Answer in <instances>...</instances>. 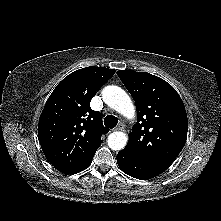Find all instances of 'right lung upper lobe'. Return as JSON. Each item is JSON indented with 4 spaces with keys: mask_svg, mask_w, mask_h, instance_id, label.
<instances>
[{
    "mask_svg": "<svg viewBox=\"0 0 221 221\" xmlns=\"http://www.w3.org/2000/svg\"><path fill=\"white\" fill-rule=\"evenodd\" d=\"M115 70L86 67L65 77L48 98L38 124L39 141L48 161L71 174L91 159L109 130L90 101Z\"/></svg>",
    "mask_w": 221,
    "mask_h": 221,
    "instance_id": "obj_1",
    "label": "right lung upper lobe"
}]
</instances>
